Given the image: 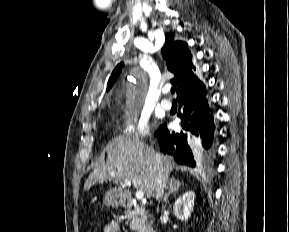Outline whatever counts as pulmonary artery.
<instances>
[{
  "label": "pulmonary artery",
  "mask_w": 289,
  "mask_h": 232,
  "mask_svg": "<svg viewBox=\"0 0 289 232\" xmlns=\"http://www.w3.org/2000/svg\"><path fill=\"white\" fill-rule=\"evenodd\" d=\"M168 91H169L168 88H164L163 89V93H167ZM160 104H161V107L163 109H165V110H170L171 107H172V102L169 99H166V98L162 99Z\"/></svg>",
  "instance_id": "1"
}]
</instances>
